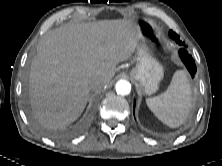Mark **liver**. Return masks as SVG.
<instances>
[{
  "instance_id": "obj_1",
  "label": "liver",
  "mask_w": 222,
  "mask_h": 166,
  "mask_svg": "<svg viewBox=\"0 0 222 166\" xmlns=\"http://www.w3.org/2000/svg\"><path fill=\"white\" fill-rule=\"evenodd\" d=\"M133 20L70 23L40 39L29 76L30 102L39 123L64 130L82 114L96 81L109 84L116 65L138 47Z\"/></svg>"
}]
</instances>
